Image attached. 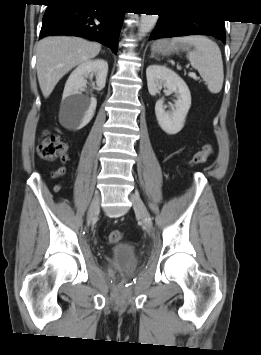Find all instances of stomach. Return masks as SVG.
<instances>
[{"label":"stomach","instance_id":"obj_1","mask_svg":"<svg viewBox=\"0 0 261 355\" xmlns=\"http://www.w3.org/2000/svg\"><path fill=\"white\" fill-rule=\"evenodd\" d=\"M188 44L185 42H172L167 39L157 40L153 43L151 50L156 54L170 55L179 49H186Z\"/></svg>","mask_w":261,"mask_h":355}]
</instances>
